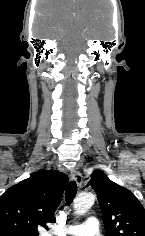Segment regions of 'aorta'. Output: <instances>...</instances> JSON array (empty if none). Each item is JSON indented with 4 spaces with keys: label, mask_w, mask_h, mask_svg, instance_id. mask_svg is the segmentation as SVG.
Instances as JSON below:
<instances>
[{
    "label": "aorta",
    "mask_w": 145,
    "mask_h": 236,
    "mask_svg": "<svg viewBox=\"0 0 145 236\" xmlns=\"http://www.w3.org/2000/svg\"><path fill=\"white\" fill-rule=\"evenodd\" d=\"M95 202V195L92 193H83L74 200V211L76 215L85 214Z\"/></svg>",
    "instance_id": "obj_1"
}]
</instances>
